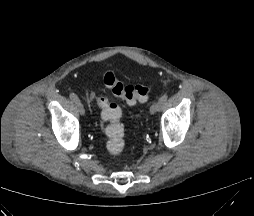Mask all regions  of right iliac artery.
Wrapping results in <instances>:
<instances>
[{
	"label": "right iliac artery",
	"mask_w": 254,
	"mask_h": 216,
	"mask_svg": "<svg viewBox=\"0 0 254 216\" xmlns=\"http://www.w3.org/2000/svg\"><path fill=\"white\" fill-rule=\"evenodd\" d=\"M69 97H70V99H71L72 101H74V102L80 101L79 98H78V96H77L75 93H70Z\"/></svg>",
	"instance_id": "1"
}]
</instances>
